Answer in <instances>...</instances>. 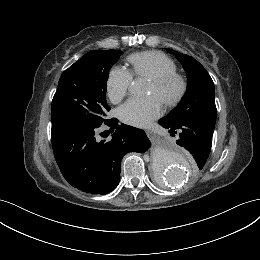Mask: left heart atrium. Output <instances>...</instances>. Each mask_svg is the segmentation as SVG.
<instances>
[{
  "label": "left heart atrium",
  "mask_w": 260,
  "mask_h": 260,
  "mask_svg": "<svg viewBox=\"0 0 260 260\" xmlns=\"http://www.w3.org/2000/svg\"><path fill=\"white\" fill-rule=\"evenodd\" d=\"M161 109V100L157 96L151 95L129 99L119 108L118 115L124 123L146 126L160 114Z\"/></svg>",
  "instance_id": "obj_1"
}]
</instances>
